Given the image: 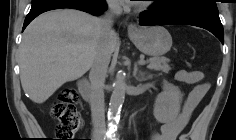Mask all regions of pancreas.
Returning <instances> with one entry per match:
<instances>
[{"label": "pancreas", "mask_w": 236, "mask_h": 140, "mask_svg": "<svg viewBox=\"0 0 236 140\" xmlns=\"http://www.w3.org/2000/svg\"><path fill=\"white\" fill-rule=\"evenodd\" d=\"M148 68L156 71H163L164 73H168L171 70L168 62L169 59L166 57H153L147 60Z\"/></svg>", "instance_id": "cf45deb5"}]
</instances>
